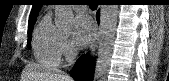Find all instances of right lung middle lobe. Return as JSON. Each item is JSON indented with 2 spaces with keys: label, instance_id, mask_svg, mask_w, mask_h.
<instances>
[{
  "label": "right lung middle lobe",
  "instance_id": "obj_1",
  "mask_svg": "<svg viewBox=\"0 0 169 81\" xmlns=\"http://www.w3.org/2000/svg\"><path fill=\"white\" fill-rule=\"evenodd\" d=\"M34 23H35V21L29 22V24H28V47H29V49H30L31 34H32V29H33Z\"/></svg>",
  "mask_w": 169,
  "mask_h": 81
}]
</instances>
